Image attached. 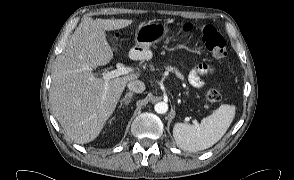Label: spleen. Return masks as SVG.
<instances>
[{
    "mask_svg": "<svg viewBox=\"0 0 294 180\" xmlns=\"http://www.w3.org/2000/svg\"><path fill=\"white\" fill-rule=\"evenodd\" d=\"M235 115L231 105H221L212 114L194 125L176 123L173 137L177 145L189 151L207 149L217 143L226 133Z\"/></svg>",
    "mask_w": 294,
    "mask_h": 180,
    "instance_id": "1",
    "label": "spleen"
}]
</instances>
